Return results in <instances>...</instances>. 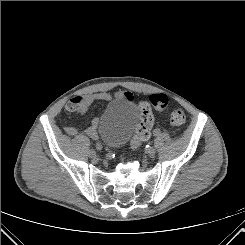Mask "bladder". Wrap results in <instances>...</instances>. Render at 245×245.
I'll list each match as a JSON object with an SVG mask.
<instances>
[{"label": "bladder", "mask_w": 245, "mask_h": 245, "mask_svg": "<svg viewBox=\"0 0 245 245\" xmlns=\"http://www.w3.org/2000/svg\"><path fill=\"white\" fill-rule=\"evenodd\" d=\"M139 113L132 101L111 102L99 118L98 129L102 140L112 148L125 144L133 133Z\"/></svg>", "instance_id": "obj_1"}]
</instances>
